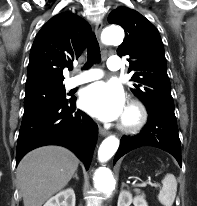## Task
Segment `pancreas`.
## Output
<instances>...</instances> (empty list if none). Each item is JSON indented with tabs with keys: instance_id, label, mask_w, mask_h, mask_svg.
Returning <instances> with one entry per match:
<instances>
[{
	"instance_id": "1",
	"label": "pancreas",
	"mask_w": 197,
	"mask_h": 206,
	"mask_svg": "<svg viewBox=\"0 0 197 206\" xmlns=\"http://www.w3.org/2000/svg\"><path fill=\"white\" fill-rule=\"evenodd\" d=\"M134 192L141 193V190L140 189H134ZM142 196H144V193H142Z\"/></svg>"
}]
</instances>
